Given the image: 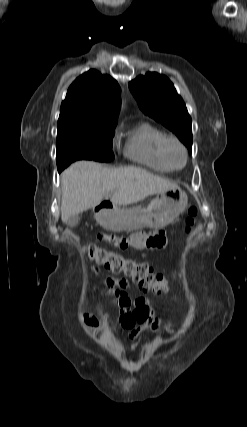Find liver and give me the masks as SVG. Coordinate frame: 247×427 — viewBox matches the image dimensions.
<instances>
[{
  "instance_id": "liver-1",
  "label": "liver",
  "mask_w": 247,
  "mask_h": 427,
  "mask_svg": "<svg viewBox=\"0 0 247 427\" xmlns=\"http://www.w3.org/2000/svg\"><path fill=\"white\" fill-rule=\"evenodd\" d=\"M178 186L138 167L107 168L77 161L61 174V219L98 206L111 198L114 207L129 205Z\"/></svg>"
}]
</instances>
